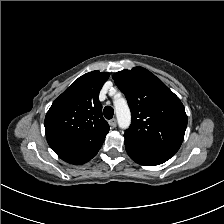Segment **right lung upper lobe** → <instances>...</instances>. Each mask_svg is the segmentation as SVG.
Returning <instances> with one entry per match:
<instances>
[{"label":"right lung upper lobe","instance_id":"1","mask_svg":"<svg viewBox=\"0 0 224 224\" xmlns=\"http://www.w3.org/2000/svg\"><path fill=\"white\" fill-rule=\"evenodd\" d=\"M107 72L92 71L75 80L51 105L45 117L47 134H63L89 145L103 142L109 125L102 115L99 91Z\"/></svg>","mask_w":224,"mask_h":224}]
</instances>
